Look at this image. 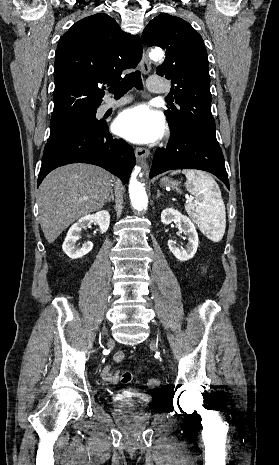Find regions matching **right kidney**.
Here are the masks:
<instances>
[{
  "instance_id": "ca27d5eb",
  "label": "right kidney",
  "mask_w": 279,
  "mask_h": 465,
  "mask_svg": "<svg viewBox=\"0 0 279 465\" xmlns=\"http://www.w3.org/2000/svg\"><path fill=\"white\" fill-rule=\"evenodd\" d=\"M96 222L100 227V232L104 233L109 228L110 214L106 210L96 212L95 214H89L80 218L75 224H73L68 230L67 236L63 243L62 249L71 259L81 258L88 254L92 248L93 243L88 241L82 246L76 245L77 240L80 238L82 229Z\"/></svg>"
}]
</instances>
